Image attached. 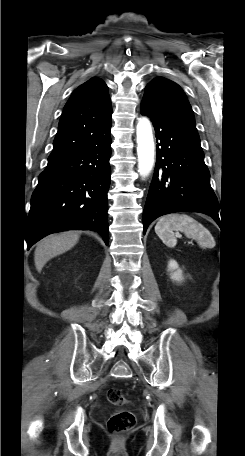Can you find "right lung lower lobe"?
I'll return each mask as SVG.
<instances>
[{
    "label": "right lung lower lobe",
    "instance_id": "obj_1",
    "mask_svg": "<svg viewBox=\"0 0 245 456\" xmlns=\"http://www.w3.org/2000/svg\"><path fill=\"white\" fill-rule=\"evenodd\" d=\"M110 129L89 147L48 162L31 198L26 227L28 249L50 233L69 229L97 231L108 245Z\"/></svg>",
    "mask_w": 245,
    "mask_h": 456
}]
</instances>
